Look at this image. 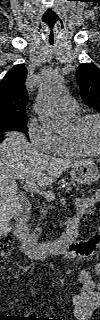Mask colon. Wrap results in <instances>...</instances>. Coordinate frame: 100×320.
Segmentation results:
<instances>
[{"instance_id": "5ec220e1", "label": "colon", "mask_w": 100, "mask_h": 320, "mask_svg": "<svg viewBox=\"0 0 100 320\" xmlns=\"http://www.w3.org/2000/svg\"><path fill=\"white\" fill-rule=\"evenodd\" d=\"M100 241V237L98 235H93L88 240L83 242L81 246V250H83L82 255L88 256L91 255L97 248ZM13 240L10 236H3L1 239V258L0 264L4 265L7 261V257L11 252ZM54 320H62V319H54Z\"/></svg>"}]
</instances>
